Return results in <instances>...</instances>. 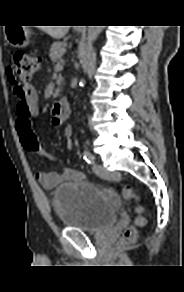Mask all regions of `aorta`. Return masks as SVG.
Segmentation results:
<instances>
[{
    "label": "aorta",
    "instance_id": "1",
    "mask_svg": "<svg viewBox=\"0 0 184 292\" xmlns=\"http://www.w3.org/2000/svg\"><path fill=\"white\" fill-rule=\"evenodd\" d=\"M102 27L103 26H89L88 27L87 47H86V50L82 54V58L85 64L87 62L89 52L92 49L93 43L96 41V39L98 38L99 34L102 31Z\"/></svg>",
    "mask_w": 184,
    "mask_h": 292
}]
</instances>
